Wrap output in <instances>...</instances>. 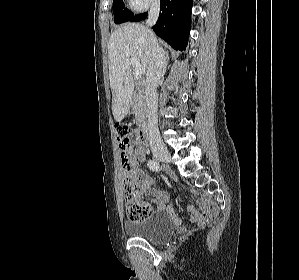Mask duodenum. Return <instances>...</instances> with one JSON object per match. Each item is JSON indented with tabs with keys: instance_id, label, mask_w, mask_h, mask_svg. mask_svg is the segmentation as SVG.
Masks as SVG:
<instances>
[{
	"instance_id": "410a0bca",
	"label": "duodenum",
	"mask_w": 299,
	"mask_h": 280,
	"mask_svg": "<svg viewBox=\"0 0 299 280\" xmlns=\"http://www.w3.org/2000/svg\"><path fill=\"white\" fill-rule=\"evenodd\" d=\"M138 136L141 140H146L148 138V127L145 123H142L139 126Z\"/></svg>"
}]
</instances>
